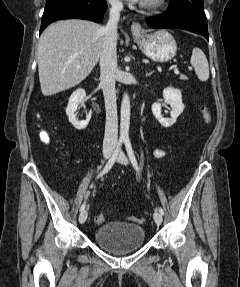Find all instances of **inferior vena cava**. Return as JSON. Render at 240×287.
I'll use <instances>...</instances> for the list:
<instances>
[{
  "label": "inferior vena cava",
  "instance_id": "obj_1",
  "mask_svg": "<svg viewBox=\"0 0 240 287\" xmlns=\"http://www.w3.org/2000/svg\"><path fill=\"white\" fill-rule=\"evenodd\" d=\"M111 5L109 20L106 26L102 27L103 46L100 54V86L103 90L106 125L103 148H114L117 143L118 117L115 91V78L117 67V25L120 19V12L123 5L119 0H109Z\"/></svg>",
  "mask_w": 240,
  "mask_h": 287
}]
</instances>
